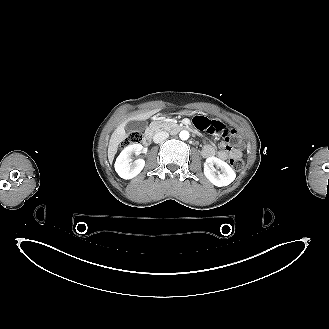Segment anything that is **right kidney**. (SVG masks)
<instances>
[{
  "label": "right kidney",
  "instance_id": "1",
  "mask_svg": "<svg viewBox=\"0 0 329 329\" xmlns=\"http://www.w3.org/2000/svg\"><path fill=\"white\" fill-rule=\"evenodd\" d=\"M141 144H131L123 149L115 162V171L123 179H132L136 177L144 168L145 161L143 159L131 162V155L135 153L139 155L142 152Z\"/></svg>",
  "mask_w": 329,
  "mask_h": 329
}]
</instances>
